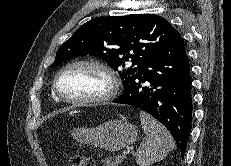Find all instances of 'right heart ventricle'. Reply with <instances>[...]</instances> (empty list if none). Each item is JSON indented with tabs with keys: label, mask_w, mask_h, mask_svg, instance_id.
Here are the masks:
<instances>
[{
	"label": "right heart ventricle",
	"mask_w": 231,
	"mask_h": 166,
	"mask_svg": "<svg viewBox=\"0 0 231 166\" xmlns=\"http://www.w3.org/2000/svg\"><path fill=\"white\" fill-rule=\"evenodd\" d=\"M53 98L55 99V100H57V98L55 97V95L53 94Z\"/></svg>",
	"instance_id": "obj_1"
}]
</instances>
